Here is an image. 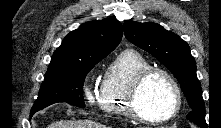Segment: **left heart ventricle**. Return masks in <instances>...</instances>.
<instances>
[{
  "label": "left heart ventricle",
  "instance_id": "1",
  "mask_svg": "<svg viewBox=\"0 0 221 128\" xmlns=\"http://www.w3.org/2000/svg\"><path fill=\"white\" fill-rule=\"evenodd\" d=\"M173 104L170 84L161 74L151 76L138 94L137 105L149 117L158 118L167 113Z\"/></svg>",
  "mask_w": 221,
  "mask_h": 128
}]
</instances>
